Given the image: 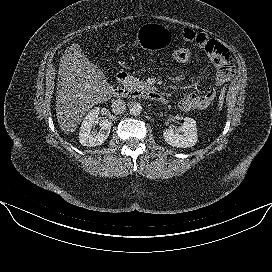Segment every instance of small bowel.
Listing matches in <instances>:
<instances>
[{"instance_id":"obj_1","label":"small bowel","mask_w":272,"mask_h":272,"mask_svg":"<svg viewBox=\"0 0 272 272\" xmlns=\"http://www.w3.org/2000/svg\"><path fill=\"white\" fill-rule=\"evenodd\" d=\"M181 36L184 40L193 42L204 50L216 70V86H221L229 81L232 75L233 57L223 44L190 28L183 29ZM216 95L215 88L209 89L204 94L191 93L179 101V108L184 112L204 110L212 104Z\"/></svg>"}]
</instances>
